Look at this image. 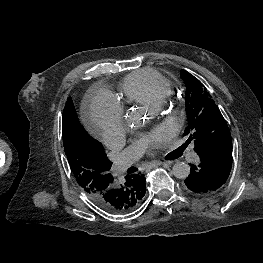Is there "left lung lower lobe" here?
I'll use <instances>...</instances> for the list:
<instances>
[{
  "label": "left lung lower lobe",
  "mask_w": 263,
  "mask_h": 263,
  "mask_svg": "<svg viewBox=\"0 0 263 263\" xmlns=\"http://www.w3.org/2000/svg\"><path fill=\"white\" fill-rule=\"evenodd\" d=\"M198 165L190 164L185 184L192 192L205 195L218 190L229 177L232 167V142L223 141L199 153Z\"/></svg>",
  "instance_id": "obj_1"
}]
</instances>
